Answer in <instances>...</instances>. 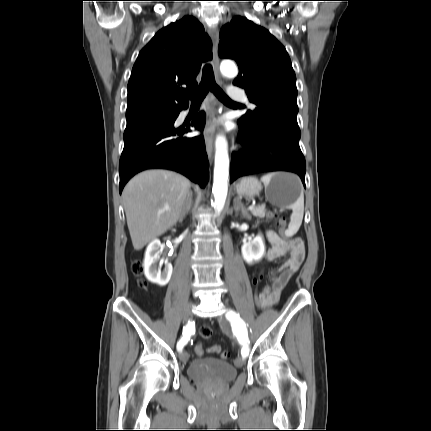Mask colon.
I'll return each mask as SVG.
<instances>
[{
	"instance_id": "colon-1",
	"label": "colon",
	"mask_w": 431,
	"mask_h": 431,
	"mask_svg": "<svg viewBox=\"0 0 431 431\" xmlns=\"http://www.w3.org/2000/svg\"><path fill=\"white\" fill-rule=\"evenodd\" d=\"M268 216L273 218L275 217V213L274 212H269ZM276 225L277 228L280 231V237H285V233H286V219H276ZM132 271L136 276H141L143 274L144 268H143V264L140 261H135L132 265ZM264 274H259L258 277H254L253 278V283L254 284H260L261 280L264 279ZM147 283L143 280L140 281V286L141 287H146ZM260 287L256 286L253 289V294L251 295V300H252V304L254 305V307H257L258 312L262 311L261 305H259V300H260ZM199 334L203 339H209L212 334V328L209 325H203L201 326L200 330H199ZM203 345L200 342H196L194 343V350H195V354H196V358L197 359H202L203 358V353L204 350L202 349ZM229 356V354L227 352H222L221 353V357L222 358H227Z\"/></svg>"
}]
</instances>
